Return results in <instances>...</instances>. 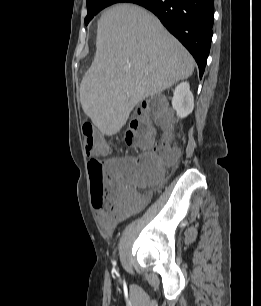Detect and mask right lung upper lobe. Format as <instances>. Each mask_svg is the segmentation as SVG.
Returning a JSON list of instances; mask_svg holds the SVG:
<instances>
[{"instance_id":"right-lung-upper-lobe-1","label":"right lung upper lobe","mask_w":261,"mask_h":306,"mask_svg":"<svg viewBox=\"0 0 261 306\" xmlns=\"http://www.w3.org/2000/svg\"><path fill=\"white\" fill-rule=\"evenodd\" d=\"M132 1H134V0H120V2H132Z\"/></svg>"}]
</instances>
